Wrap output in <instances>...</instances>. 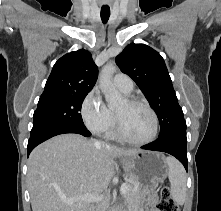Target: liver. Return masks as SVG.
<instances>
[{"mask_svg":"<svg viewBox=\"0 0 221 211\" xmlns=\"http://www.w3.org/2000/svg\"><path fill=\"white\" fill-rule=\"evenodd\" d=\"M138 152L78 134H62L47 140L28 159L32 211H91V202L67 204L62 198L101 195L114 176L116 158Z\"/></svg>","mask_w":221,"mask_h":211,"instance_id":"6515ba94","label":"liver"}]
</instances>
